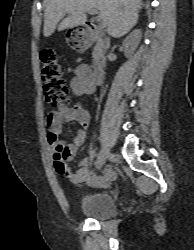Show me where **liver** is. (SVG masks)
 Wrapping results in <instances>:
<instances>
[{
  "mask_svg": "<svg viewBox=\"0 0 194 250\" xmlns=\"http://www.w3.org/2000/svg\"><path fill=\"white\" fill-rule=\"evenodd\" d=\"M140 5L141 0H47L43 33L49 37L56 29L84 25L86 12L94 9L104 20L108 33L121 37L137 23ZM66 14L69 16L64 18Z\"/></svg>",
  "mask_w": 194,
  "mask_h": 250,
  "instance_id": "obj_1",
  "label": "liver"
}]
</instances>
